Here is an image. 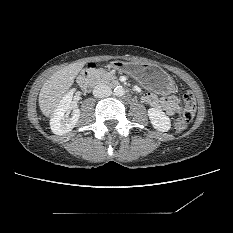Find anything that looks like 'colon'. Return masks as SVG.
I'll use <instances>...</instances> for the list:
<instances>
[{"label": "colon", "instance_id": "obj_1", "mask_svg": "<svg viewBox=\"0 0 233 233\" xmlns=\"http://www.w3.org/2000/svg\"><path fill=\"white\" fill-rule=\"evenodd\" d=\"M195 111V95L190 90H187L183 93V109L181 116H179L174 122L177 132H182L186 128L188 122L194 117Z\"/></svg>", "mask_w": 233, "mask_h": 233}]
</instances>
